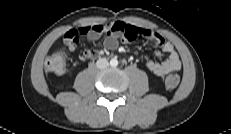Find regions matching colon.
<instances>
[{
    "mask_svg": "<svg viewBox=\"0 0 231 134\" xmlns=\"http://www.w3.org/2000/svg\"><path fill=\"white\" fill-rule=\"evenodd\" d=\"M65 63V54L62 51H58L47 58L45 66L47 71L55 74H61L65 69ZM179 82L180 77L175 73H171L165 78V86L169 89L176 88Z\"/></svg>",
    "mask_w": 231,
    "mask_h": 134,
    "instance_id": "obj_1",
    "label": "colon"
}]
</instances>
